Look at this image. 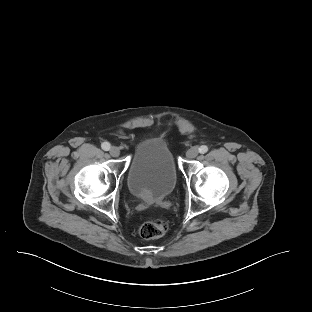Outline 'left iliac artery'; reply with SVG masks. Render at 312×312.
I'll return each mask as SVG.
<instances>
[{
  "label": "left iliac artery",
  "instance_id": "1",
  "mask_svg": "<svg viewBox=\"0 0 312 312\" xmlns=\"http://www.w3.org/2000/svg\"><path fill=\"white\" fill-rule=\"evenodd\" d=\"M207 151H208V147H207L206 145L200 146L199 152H200L201 154H204V153H206Z\"/></svg>",
  "mask_w": 312,
  "mask_h": 312
}]
</instances>
